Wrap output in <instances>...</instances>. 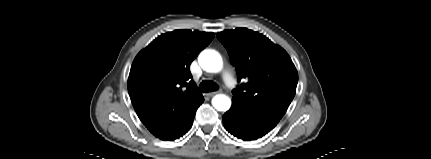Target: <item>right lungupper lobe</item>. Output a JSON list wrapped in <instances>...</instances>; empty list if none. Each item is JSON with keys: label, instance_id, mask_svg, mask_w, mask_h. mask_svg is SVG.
I'll return each mask as SVG.
<instances>
[{"label": "right lung upper lobe", "instance_id": "cb5924a9", "mask_svg": "<svg viewBox=\"0 0 431 159\" xmlns=\"http://www.w3.org/2000/svg\"><path fill=\"white\" fill-rule=\"evenodd\" d=\"M213 38L211 32L175 30L158 36L135 57L128 92L138 117L156 137L174 129L203 97L190 64Z\"/></svg>", "mask_w": 431, "mask_h": 159}]
</instances>
